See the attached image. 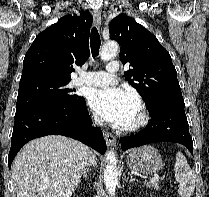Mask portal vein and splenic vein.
Segmentation results:
<instances>
[{"instance_id": "18ae733b", "label": "portal vein and splenic vein", "mask_w": 209, "mask_h": 197, "mask_svg": "<svg viewBox=\"0 0 209 197\" xmlns=\"http://www.w3.org/2000/svg\"><path fill=\"white\" fill-rule=\"evenodd\" d=\"M158 180H159V176L158 175H155L153 178H151L150 179V183H156V182H158Z\"/></svg>"}]
</instances>
